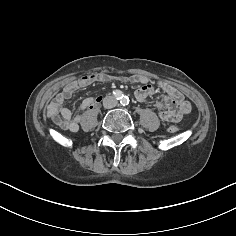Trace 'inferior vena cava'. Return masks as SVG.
Here are the masks:
<instances>
[{"label": "inferior vena cava", "mask_w": 236, "mask_h": 236, "mask_svg": "<svg viewBox=\"0 0 236 236\" xmlns=\"http://www.w3.org/2000/svg\"><path fill=\"white\" fill-rule=\"evenodd\" d=\"M117 105V100L113 96H106L103 100V106L107 109L114 108Z\"/></svg>", "instance_id": "inferior-vena-cava-1"}]
</instances>
